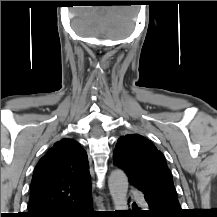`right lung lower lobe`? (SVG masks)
I'll return each instance as SVG.
<instances>
[{
  "mask_svg": "<svg viewBox=\"0 0 217 217\" xmlns=\"http://www.w3.org/2000/svg\"><path fill=\"white\" fill-rule=\"evenodd\" d=\"M42 217H95L92 210V197L90 196L88 199L76 204L64 205Z\"/></svg>",
  "mask_w": 217,
  "mask_h": 217,
  "instance_id": "obj_1",
  "label": "right lung lower lobe"
}]
</instances>
